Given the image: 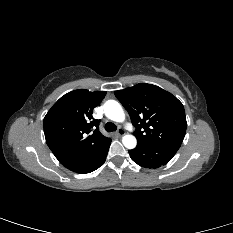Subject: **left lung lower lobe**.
I'll return each instance as SVG.
<instances>
[{
    "mask_svg": "<svg viewBox=\"0 0 233 233\" xmlns=\"http://www.w3.org/2000/svg\"><path fill=\"white\" fill-rule=\"evenodd\" d=\"M177 146H156L137 143V147L128 151L131 159L145 168H158L168 163L175 155Z\"/></svg>",
    "mask_w": 233,
    "mask_h": 233,
    "instance_id": "obj_1",
    "label": "left lung lower lobe"
}]
</instances>
